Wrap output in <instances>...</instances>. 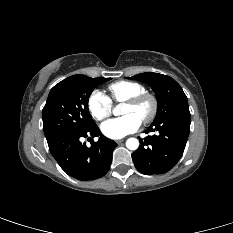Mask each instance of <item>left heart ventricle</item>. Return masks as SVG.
<instances>
[{
  "label": "left heart ventricle",
  "mask_w": 233,
  "mask_h": 233,
  "mask_svg": "<svg viewBox=\"0 0 233 233\" xmlns=\"http://www.w3.org/2000/svg\"><path fill=\"white\" fill-rule=\"evenodd\" d=\"M151 110V103L145 101L138 106L132 107L130 105L124 104L121 110L122 115L132 114L138 119L142 120L145 118Z\"/></svg>",
  "instance_id": "1"
}]
</instances>
